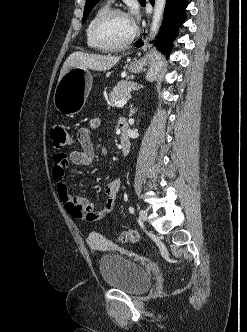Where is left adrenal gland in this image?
Here are the masks:
<instances>
[{"instance_id":"obj_1","label":"left adrenal gland","mask_w":247,"mask_h":332,"mask_svg":"<svg viewBox=\"0 0 247 332\" xmlns=\"http://www.w3.org/2000/svg\"><path fill=\"white\" fill-rule=\"evenodd\" d=\"M136 110L133 108V105H130V116L133 115Z\"/></svg>"}]
</instances>
